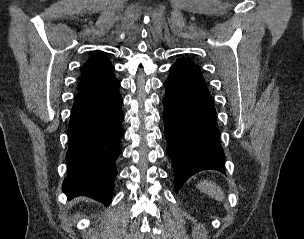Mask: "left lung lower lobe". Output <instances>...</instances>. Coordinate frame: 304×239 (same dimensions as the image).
Masks as SVG:
<instances>
[{"label":"left lung lower lobe","instance_id":"1","mask_svg":"<svg viewBox=\"0 0 304 239\" xmlns=\"http://www.w3.org/2000/svg\"><path fill=\"white\" fill-rule=\"evenodd\" d=\"M164 87L166 152L172 160L177 192L202 170L224 173L225 154L219 144L215 107L200 70L181 58L170 68Z\"/></svg>","mask_w":304,"mask_h":239}]
</instances>
